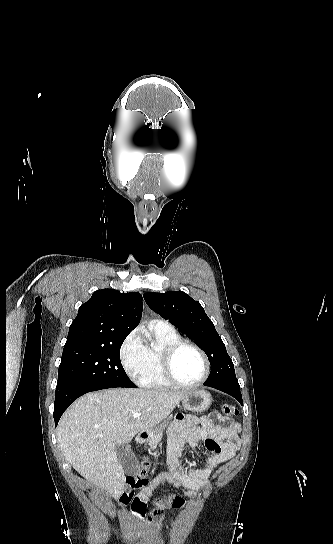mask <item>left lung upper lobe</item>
Returning a JSON list of instances; mask_svg holds the SVG:
<instances>
[{"label":"left lung upper lobe","mask_w":333,"mask_h":544,"mask_svg":"<svg viewBox=\"0 0 333 544\" xmlns=\"http://www.w3.org/2000/svg\"><path fill=\"white\" fill-rule=\"evenodd\" d=\"M147 305L193 339L206 353L211 372L206 386L239 387L225 344L201 304L182 291L147 292Z\"/></svg>","instance_id":"left-lung-upper-lobe-1"}]
</instances>
